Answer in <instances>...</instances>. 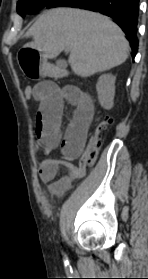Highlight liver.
<instances>
[{
	"label": "liver",
	"instance_id": "obj_1",
	"mask_svg": "<svg viewBox=\"0 0 148 279\" xmlns=\"http://www.w3.org/2000/svg\"><path fill=\"white\" fill-rule=\"evenodd\" d=\"M25 37L26 47L53 59L70 49L68 63L81 77H89L124 63L129 43L122 30L108 17L74 8H54L43 13Z\"/></svg>",
	"mask_w": 148,
	"mask_h": 279
}]
</instances>
